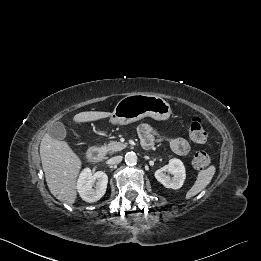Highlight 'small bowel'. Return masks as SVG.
I'll return each instance as SVG.
<instances>
[{
	"instance_id": "1",
	"label": "small bowel",
	"mask_w": 261,
	"mask_h": 261,
	"mask_svg": "<svg viewBox=\"0 0 261 261\" xmlns=\"http://www.w3.org/2000/svg\"><path fill=\"white\" fill-rule=\"evenodd\" d=\"M139 135L145 147H150L156 138V131L153 127L143 124L139 127ZM169 144L174 153L180 156H186L190 152L189 143L181 137L171 138Z\"/></svg>"
}]
</instances>
